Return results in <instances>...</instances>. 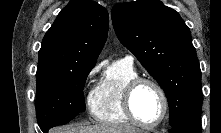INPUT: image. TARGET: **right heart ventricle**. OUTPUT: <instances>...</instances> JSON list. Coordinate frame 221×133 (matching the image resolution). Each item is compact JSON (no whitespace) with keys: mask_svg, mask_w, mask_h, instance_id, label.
I'll use <instances>...</instances> for the list:
<instances>
[{"mask_svg":"<svg viewBox=\"0 0 221 133\" xmlns=\"http://www.w3.org/2000/svg\"><path fill=\"white\" fill-rule=\"evenodd\" d=\"M138 77L133 63L124 59L113 62L91 94L92 116L105 124L132 123L124 111L123 96L127 84Z\"/></svg>","mask_w":221,"mask_h":133,"instance_id":"obj_1","label":"right heart ventricle"}]
</instances>
